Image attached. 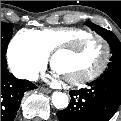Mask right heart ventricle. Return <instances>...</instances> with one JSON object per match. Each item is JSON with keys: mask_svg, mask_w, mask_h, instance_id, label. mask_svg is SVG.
<instances>
[{"mask_svg": "<svg viewBox=\"0 0 121 121\" xmlns=\"http://www.w3.org/2000/svg\"><path fill=\"white\" fill-rule=\"evenodd\" d=\"M87 35L83 30L69 31L60 28L23 29L17 38L33 44L43 55L48 56L57 46H67Z\"/></svg>", "mask_w": 121, "mask_h": 121, "instance_id": "obj_1", "label": "right heart ventricle"}]
</instances>
